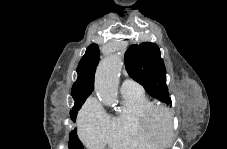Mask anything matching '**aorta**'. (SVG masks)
<instances>
[{"label":"aorta","instance_id":"aorta-1","mask_svg":"<svg viewBox=\"0 0 227 149\" xmlns=\"http://www.w3.org/2000/svg\"><path fill=\"white\" fill-rule=\"evenodd\" d=\"M122 59L118 54H112L98 66L95 76V92L104 105L112 106L118 99V82L122 69Z\"/></svg>","mask_w":227,"mask_h":149}]
</instances>
